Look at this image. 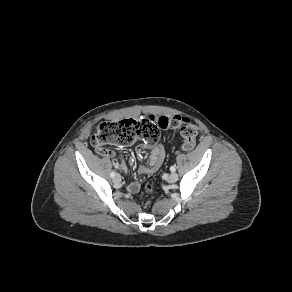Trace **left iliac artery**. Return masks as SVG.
I'll return each mask as SVG.
<instances>
[{
    "instance_id": "44dca946",
    "label": "left iliac artery",
    "mask_w": 292,
    "mask_h": 292,
    "mask_svg": "<svg viewBox=\"0 0 292 292\" xmlns=\"http://www.w3.org/2000/svg\"><path fill=\"white\" fill-rule=\"evenodd\" d=\"M170 170H171L172 172L176 171L175 166H171V167H170Z\"/></svg>"
}]
</instances>
